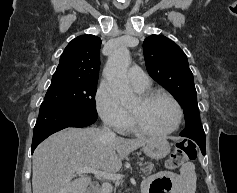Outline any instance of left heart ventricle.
Instances as JSON below:
<instances>
[{"label": "left heart ventricle", "instance_id": "1", "mask_svg": "<svg viewBox=\"0 0 237 193\" xmlns=\"http://www.w3.org/2000/svg\"><path fill=\"white\" fill-rule=\"evenodd\" d=\"M129 111L140 125L154 131L168 130L177 120L174 104L165 97H157L146 104L138 98L129 107Z\"/></svg>", "mask_w": 237, "mask_h": 193}]
</instances>
